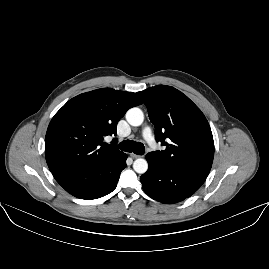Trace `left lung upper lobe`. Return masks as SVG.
I'll return each instance as SVG.
<instances>
[{
    "instance_id": "1",
    "label": "left lung upper lobe",
    "mask_w": 269,
    "mask_h": 269,
    "mask_svg": "<svg viewBox=\"0 0 269 269\" xmlns=\"http://www.w3.org/2000/svg\"><path fill=\"white\" fill-rule=\"evenodd\" d=\"M137 95L148 109L156 140L166 149L146 157L163 165L208 176L214 142L207 119L182 92L166 85L150 87Z\"/></svg>"
}]
</instances>
